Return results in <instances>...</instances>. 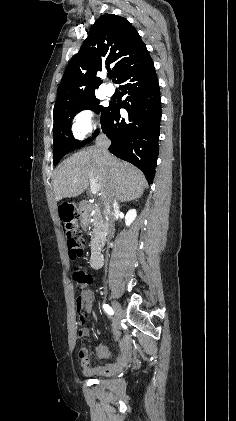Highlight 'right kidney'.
Segmentation results:
<instances>
[{"label":"right kidney","mask_w":236,"mask_h":421,"mask_svg":"<svg viewBox=\"0 0 236 421\" xmlns=\"http://www.w3.org/2000/svg\"><path fill=\"white\" fill-rule=\"evenodd\" d=\"M136 219V211L135 208H131V211H128L125 217L126 227H130L131 223Z\"/></svg>","instance_id":"1"}]
</instances>
